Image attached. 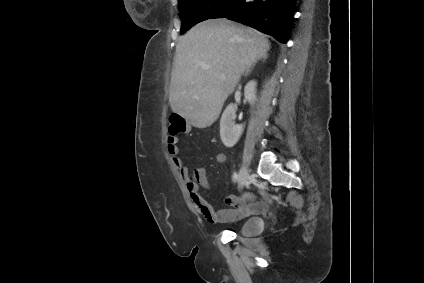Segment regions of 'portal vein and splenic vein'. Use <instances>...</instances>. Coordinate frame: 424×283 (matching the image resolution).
I'll use <instances>...</instances> for the list:
<instances>
[{
  "mask_svg": "<svg viewBox=\"0 0 424 283\" xmlns=\"http://www.w3.org/2000/svg\"><path fill=\"white\" fill-rule=\"evenodd\" d=\"M204 69H209V65H203L202 66Z\"/></svg>",
  "mask_w": 424,
  "mask_h": 283,
  "instance_id": "obj_1",
  "label": "portal vein and splenic vein"
}]
</instances>
